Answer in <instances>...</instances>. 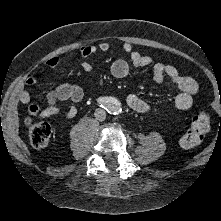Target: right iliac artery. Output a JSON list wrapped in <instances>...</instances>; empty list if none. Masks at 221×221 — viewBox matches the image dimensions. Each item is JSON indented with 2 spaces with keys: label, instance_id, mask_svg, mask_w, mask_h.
Masks as SVG:
<instances>
[{
  "label": "right iliac artery",
  "instance_id": "right-iliac-artery-1",
  "mask_svg": "<svg viewBox=\"0 0 221 221\" xmlns=\"http://www.w3.org/2000/svg\"><path fill=\"white\" fill-rule=\"evenodd\" d=\"M108 102H109V100L106 97L98 98V103L100 104L101 107L107 105Z\"/></svg>",
  "mask_w": 221,
  "mask_h": 221
}]
</instances>
